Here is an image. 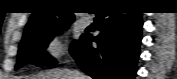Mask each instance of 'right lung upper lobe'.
I'll return each mask as SVG.
<instances>
[{"instance_id": "1", "label": "right lung upper lobe", "mask_w": 177, "mask_h": 79, "mask_svg": "<svg viewBox=\"0 0 177 79\" xmlns=\"http://www.w3.org/2000/svg\"><path fill=\"white\" fill-rule=\"evenodd\" d=\"M61 8L62 5L55 2L40 1V3L35 6L32 16L25 27L23 38L39 30L72 23L75 18L73 12L69 9ZM54 9L59 12H54Z\"/></svg>"}]
</instances>
